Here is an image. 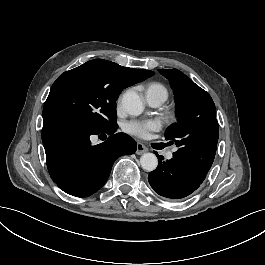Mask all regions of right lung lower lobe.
Returning <instances> with one entry per match:
<instances>
[{"mask_svg":"<svg viewBox=\"0 0 265 265\" xmlns=\"http://www.w3.org/2000/svg\"><path fill=\"white\" fill-rule=\"evenodd\" d=\"M116 130L97 133L63 116H43L42 141L47 167L57 186L76 197L97 192L107 181L115 160L135 153L137 148L134 139L124 133L114 134ZM92 135L107 140L92 145Z\"/></svg>","mask_w":265,"mask_h":265,"instance_id":"98d812e1","label":"right lung lower lobe"}]
</instances>
